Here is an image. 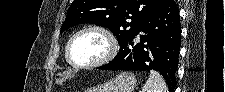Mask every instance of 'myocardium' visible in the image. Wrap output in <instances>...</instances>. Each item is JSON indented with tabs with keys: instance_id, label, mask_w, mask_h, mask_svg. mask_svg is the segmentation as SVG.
I'll return each instance as SVG.
<instances>
[{
	"instance_id": "obj_1",
	"label": "myocardium",
	"mask_w": 225,
	"mask_h": 92,
	"mask_svg": "<svg viewBox=\"0 0 225 92\" xmlns=\"http://www.w3.org/2000/svg\"><path fill=\"white\" fill-rule=\"evenodd\" d=\"M86 32H97V33L101 34L107 41L108 52L106 53V55L104 57H102L101 59H99L95 62L88 63V64H78L75 61H73V59L71 58L70 50H71V46H72V43L74 42V40L78 36H80L81 34L86 33ZM117 52H118V44H117L114 34L106 27L99 26V25H91V26H87V27H84V28L78 30L76 33H74L71 36V38L69 39V41L66 45L65 56H66L67 62L72 67L77 68V69H88V68L99 67V66L109 63L111 60L114 59Z\"/></svg>"
}]
</instances>
